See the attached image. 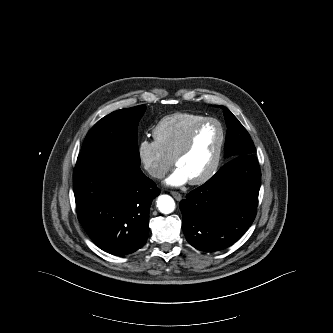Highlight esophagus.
Returning <instances> with one entry per match:
<instances>
[{
    "mask_svg": "<svg viewBox=\"0 0 333 333\" xmlns=\"http://www.w3.org/2000/svg\"><path fill=\"white\" fill-rule=\"evenodd\" d=\"M171 194L177 201H180L182 199V195L176 191H172Z\"/></svg>",
    "mask_w": 333,
    "mask_h": 333,
    "instance_id": "esophagus-1",
    "label": "esophagus"
}]
</instances>
